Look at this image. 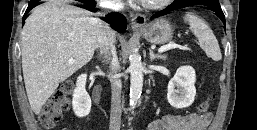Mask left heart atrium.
I'll return each mask as SVG.
<instances>
[{"label":"left heart atrium","instance_id":"39dd6f15","mask_svg":"<svg viewBox=\"0 0 257 130\" xmlns=\"http://www.w3.org/2000/svg\"><path fill=\"white\" fill-rule=\"evenodd\" d=\"M134 1L145 3L147 0H134Z\"/></svg>","mask_w":257,"mask_h":130}]
</instances>
